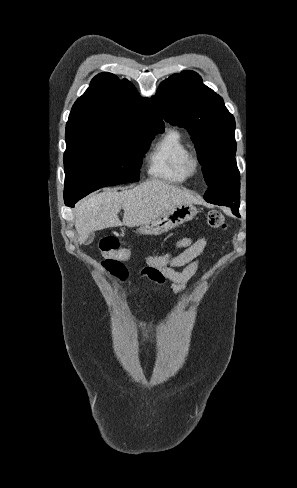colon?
Returning <instances> with one entry per match:
<instances>
[{
	"label": "colon",
	"mask_w": 297,
	"mask_h": 488,
	"mask_svg": "<svg viewBox=\"0 0 297 488\" xmlns=\"http://www.w3.org/2000/svg\"><path fill=\"white\" fill-rule=\"evenodd\" d=\"M207 224L214 229H224L226 227L224 216L218 210L208 212ZM100 249L106 257L102 261L103 267L113 276L120 280H125L128 272L124 261L131 259L132 252L127 248L120 247L118 240L113 236L104 237L100 242ZM179 252V250H174L160 256H148L146 258V267L142 270V273L147 275L151 270L167 268Z\"/></svg>",
	"instance_id": "1"
}]
</instances>
